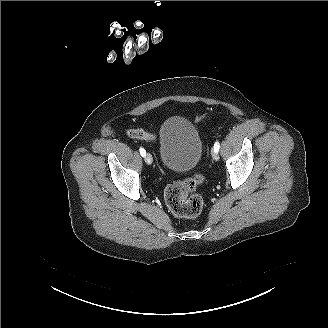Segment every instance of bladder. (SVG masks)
<instances>
[{
	"instance_id": "31cf9c89",
	"label": "bladder",
	"mask_w": 328,
	"mask_h": 328,
	"mask_svg": "<svg viewBox=\"0 0 328 328\" xmlns=\"http://www.w3.org/2000/svg\"><path fill=\"white\" fill-rule=\"evenodd\" d=\"M187 121L167 117L162 122V131L158 139L161 161L170 170L183 173L193 170L199 163L201 138L197 130L191 134L182 132Z\"/></svg>"
}]
</instances>
